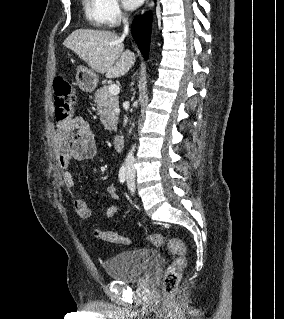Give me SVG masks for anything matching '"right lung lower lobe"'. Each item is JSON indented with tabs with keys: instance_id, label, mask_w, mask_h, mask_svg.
Instances as JSON below:
<instances>
[{
	"instance_id": "1",
	"label": "right lung lower lobe",
	"mask_w": 284,
	"mask_h": 319,
	"mask_svg": "<svg viewBox=\"0 0 284 319\" xmlns=\"http://www.w3.org/2000/svg\"><path fill=\"white\" fill-rule=\"evenodd\" d=\"M152 15L137 16L132 22L131 32L145 59L148 58Z\"/></svg>"
}]
</instances>
